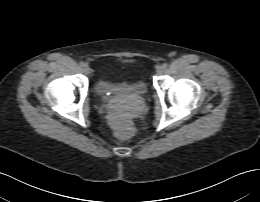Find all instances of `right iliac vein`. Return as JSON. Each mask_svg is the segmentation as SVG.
Here are the masks:
<instances>
[{
	"mask_svg": "<svg viewBox=\"0 0 260 202\" xmlns=\"http://www.w3.org/2000/svg\"><path fill=\"white\" fill-rule=\"evenodd\" d=\"M83 71H84L85 74H90L91 69H90L89 66L85 65V66L83 67Z\"/></svg>",
	"mask_w": 260,
	"mask_h": 202,
	"instance_id": "obj_1",
	"label": "right iliac vein"
}]
</instances>
